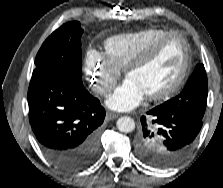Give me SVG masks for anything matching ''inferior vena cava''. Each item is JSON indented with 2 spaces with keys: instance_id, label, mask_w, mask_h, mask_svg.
Instances as JSON below:
<instances>
[{
  "instance_id": "1",
  "label": "inferior vena cava",
  "mask_w": 223,
  "mask_h": 188,
  "mask_svg": "<svg viewBox=\"0 0 223 188\" xmlns=\"http://www.w3.org/2000/svg\"><path fill=\"white\" fill-rule=\"evenodd\" d=\"M93 91L98 94H105L109 92V89L101 87V86H95L93 88Z\"/></svg>"
}]
</instances>
